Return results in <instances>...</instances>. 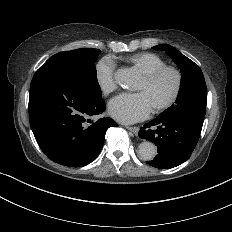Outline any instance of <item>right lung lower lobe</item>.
<instances>
[{"mask_svg":"<svg viewBox=\"0 0 232 232\" xmlns=\"http://www.w3.org/2000/svg\"><path fill=\"white\" fill-rule=\"evenodd\" d=\"M105 110L74 65L47 60L35 73L29 93L31 129L42 151L54 162L82 167L100 153L111 118L90 119Z\"/></svg>","mask_w":232,"mask_h":232,"instance_id":"1","label":"right lung lower lobe"}]
</instances>
